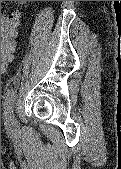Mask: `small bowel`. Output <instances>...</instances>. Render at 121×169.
I'll list each match as a JSON object with an SVG mask.
<instances>
[{"label":"small bowel","mask_w":121,"mask_h":169,"mask_svg":"<svg viewBox=\"0 0 121 169\" xmlns=\"http://www.w3.org/2000/svg\"><path fill=\"white\" fill-rule=\"evenodd\" d=\"M22 2H25V1H22ZM5 71H6V68L5 69L1 68V72H5Z\"/></svg>","instance_id":"small-bowel-1"}]
</instances>
